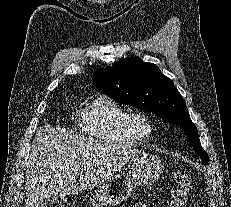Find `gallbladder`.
I'll use <instances>...</instances> for the list:
<instances>
[{"mask_svg": "<svg viewBox=\"0 0 231 207\" xmlns=\"http://www.w3.org/2000/svg\"><path fill=\"white\" fill-rule=\"evenodd\" d=\"M52 199H54V196H50V197L48 198V200H52Z\"/></svg>", "mask_w": 231, "mask_h": 207, "instance_id": "gallbladder-1", "label": "gallbladder"}]
</instances>
